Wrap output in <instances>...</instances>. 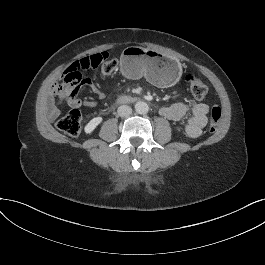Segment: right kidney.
<instances>
[{"label":"right kidney","mask_w":265,"mask_h":265,"mask_svg":"<svg viewBox=\"0 0 265 265\" xmlns=\"http://www.w3.org/2000/svg\"><path fill=\"white\" fill-rule=\"evenodd\" d=\"M103 122L102 116L93 117L83 128V132L85 135L92 134L97 127Z\"/></svg>","instance_id":"right-kidney-1"}]
</instances>
